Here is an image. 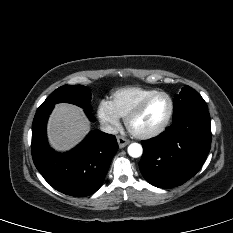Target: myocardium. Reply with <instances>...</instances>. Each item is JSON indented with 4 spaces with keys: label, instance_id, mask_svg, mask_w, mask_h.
<instances>
[{
    "label": "myocardium",
    "instance_id": "obj_1",
    "mask_svg": "<svg viewBox=\"0 0 233 233\" xmlns=\"http://www.w3.org/2000/svg\"><path fill=\"white\" fill-rule=\"evenodd\" d=\"M163 95L169 100V112L166 116L164 122L157 129L150 132H137L132 128V121L145 109L148 103L153 100L155 97ZM174 113V100L170 94L164 91H156L149 96L145 97L141 102H139L126 116L125 124L127 129L130 131L132 135L140 139H150L159 136L162 134L169 126Z\"/></svg>",
    "mask_w": 233,
    "mask_h": 233
}]
</instances>
